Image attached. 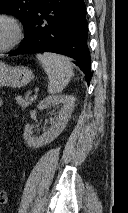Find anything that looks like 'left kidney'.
<instances>
[{
    "mask_svg": "<svg viewBox=\"0 0 128 213\" xmlns=\"http://www.w3.org/2000/svg\"><path fill=\"white\" fill-rule=\"evenodd\" d=\"M75 98L72 95H54L43 99L38 105V109L45 110L51 104H61L62 107L58 112H54V118L50 119L51 126L44 130L40 136H34L30 124H26L23 138L31 148H39L51 143L65 129L71 113L74 109Z\"/></svg>",
    "mask_w": 128,
    "mask_h": 213,
    "instance_id": "5707ae66",
    "label": "left kidney"
}]
</instances>
